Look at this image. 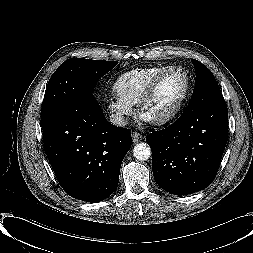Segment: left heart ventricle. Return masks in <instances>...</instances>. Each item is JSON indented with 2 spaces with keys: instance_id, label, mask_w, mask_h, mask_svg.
Listing matches in <instances>:
<instances>
[{
  "instance_id": "left-heart-ventricle-1",
  "label": "left heart ventricle",
  "mask_w": 253,
  "mask_h": 253,
  "mask_svg": "<svg viewBox=\"0 0 253 253\" xmlns=\"http://www.w3.org/2000/svg\"><path fill=\"white\" fill-rule=\"evenodd\" d=\"M185 80L180 72H170L160 82L155 95L144 111L147 118H156L170 112L180 99Z\"/></svg>"
}]
</instances>
